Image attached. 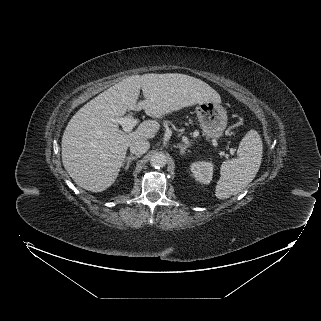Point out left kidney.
<instances>
[{
  "mask_svg": "<svg viewBox=\"0 0 321 321\" xmlns=\"http://www.w3.org/2000/svg\"><path fill=\"white\" fill-rule=\"evenodd\" d=\"M191 172L196 180L209 184L213 176V164L206 161H198L191 164Z\"/></svg>",
  "mask_w": 321,
  "mask_h": 321,
  "instance_id": "left-kidney-1",
  "label": "left kidney"
}]
</instances>
